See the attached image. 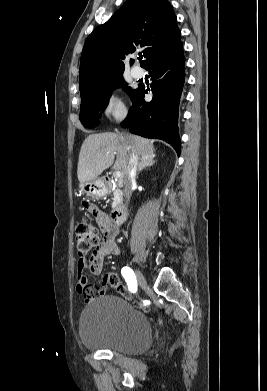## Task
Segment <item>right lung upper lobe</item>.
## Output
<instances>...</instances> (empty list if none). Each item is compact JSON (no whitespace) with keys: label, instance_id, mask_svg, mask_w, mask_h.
Wrapping results in <instances>:
<instances>
[{"label":"right lung upper lobe","instance_id":"1","mask_svg":"<svg viewBox=\"0 0 267 391\" xmlns=\"http://www.w3.org/2000/svg\"><path fill=\"white\" fill-rule=\"evenodd\" d=\"M177 18L167 0H127L87 38L80 59V92L123 73L125 56L142 48L146 67L181 43ZM130 60V65L133 64Z\"/></svg>","mask_w":267,"mask_h":391}]
</instances>
